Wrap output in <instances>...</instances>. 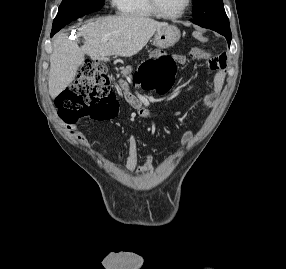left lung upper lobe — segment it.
<instances>
[{
  "mask_svg": "<svg viewBox=\"0 0 286 269\" xmlns=\"http://www.w3.org/2000/svg\"><path fill=\"white\" fill-rule=\"evenodd\" d=\"M193 19L201 27L212 30H230L222 0H193Z\"/></svg>",
  "mask_w": 286,
  "mask_h": 269,
  "instance_id": "5c2ea615",
  "label": "left lung upper lobe"
}]
</instances>
